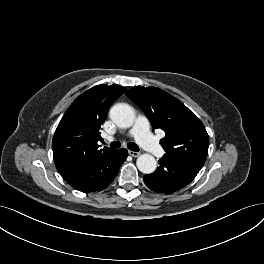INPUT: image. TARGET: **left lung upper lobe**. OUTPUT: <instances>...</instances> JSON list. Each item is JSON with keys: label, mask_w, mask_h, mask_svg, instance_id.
Wrapping results in <instances>:
<instances>
[{"label": "left lung upper lobe", "mask_w": 264, "mask_h": 264, "mask_svg": "<svg viewBox=\"0 0 264 264\" xmlns=\"http://www.w3.org/2000/svg\"><path fill=\"white\" fill-rule=\"evenodd\" d=\"M127 96L146 114L153 129H162L160 141L166 154L188 159L203 166L209 137L203 123L181 101L156 87L136 86Z\"/></svg>", "instance_id": "5c2ea615"}]
</instances>
